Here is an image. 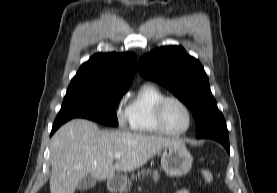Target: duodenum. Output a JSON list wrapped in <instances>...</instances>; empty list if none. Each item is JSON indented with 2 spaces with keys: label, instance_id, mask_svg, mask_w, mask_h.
I'll return each instance as SVG.
<instances>
[{
  "label": "duodenum",
  "instance_id": "duodenum-1",
  "mask_svg": "<svg viewBox=\"0 0 277 193\" xmlns=\"http://www.w3.org/2000/svg\"><path fill=\"white\" fill-rule=\"evenodd\" d=\"M121 187V182L118 179H111L109 181V189L113 192L119 191Z\"/></svg>",
  "mask_w": 277,
  "mask_h": 193
}]
</instances>
